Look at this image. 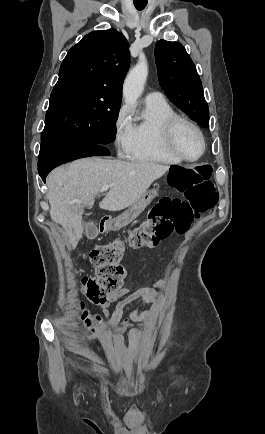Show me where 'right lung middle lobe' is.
Listing matches in <instances>:
<instances>
[{
  "label": "right lung middle lobe",
  "mask_w": 265,
  "mask_h": 434,
  "mask_svg": "<svg viewBox=\"0 0 265 434\" xmlns=\"http://www.w3.org/2000/svg\"><path fill=\"white\" fill-rule=\"evenodd\" d=\"M121 96L88 81L56 83L46 113L42 143L106 145L113 142Z\"/></svg>",
  "instance_id": "dd1d6c3e"
}]
</instances>
